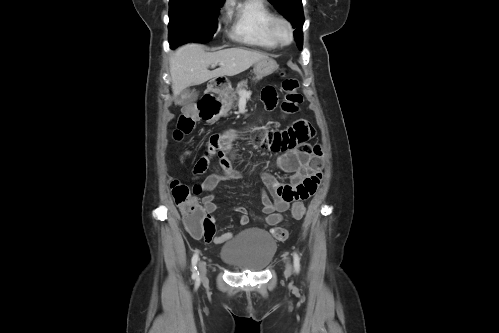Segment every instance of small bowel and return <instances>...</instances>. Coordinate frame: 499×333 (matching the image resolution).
I'll list each match as a JSON object with an SVG mask.
<instances>
[{
	"mask_svg": "<svg viewBox=\"0 0 499 333\" xmlns=\"http://www.w3.org/2000/svg\"><path fill=\"white\" fill-rule=\"evenodd\" d=\"M262 100L267 109L272 110L276 105V92L273 87H265L262 91ZM236 134L227 131L213 135L205 146L204 154L193 167V179L198 180L208 169L210 160L216 156L223 170L222 174H210L202 182L194 185L195 195L204 193L203 208L208 214L215 212L217 206L213 190L226 180L243 177L241 171L233 167L231 147ZM314 136V129L304 119L297 120L285 130L264 131L256 136V144L266 151L279 154L277 167L290 174L287 184L280 183L270 173L263 171L261 177L271 196L263 191L261 194V211L259 218L269 226L282 222L283 213L289 210L292 203L307 200L313 196L321 182L323 170V156L321 147L311 144L309 140ZM240 225H247L253 215L244 207H237ZM230 232L213 237L209 242L216 244L230 240Z\"/></svg>",
	"mask_w": 499,
	"mask_h": 333,
	"instance_id": "obj_1",
	"label": "small bowel"
}]
</instances>
